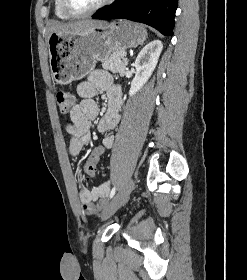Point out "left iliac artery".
I'll use <instances>...</instances> for the list:
<instances>
[{"label":"left iliac artery","mask_w":247,"mask_h":280,"mask_svg":"<svg viewBox=\"0 0 247 280\" xmlns=\"http://www.w3.org/2000/svg\"><path fill=\"white\" fill-rule=\"evenodd\" d=\"M116 192V186H114L110 192V198H113V196L115 195Z\"/></svg>","instance_id":"obj_1"}]
</instances>
